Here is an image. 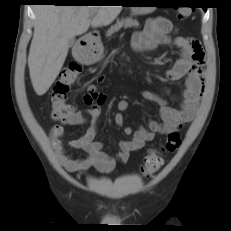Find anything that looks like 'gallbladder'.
I'll list each match as a JSON object with an SVG mask.
<instances>
[{
	"label": "gallbladder",
	"instance_id": "obj_1",
	"mask_svg": "<svg viewBox=\"0 0 231 231\" xmlns=\"http://www.w3.org/2000/svg\"><path fill=\"white\" fill-rule=\"evenodd\" d=\"M73 43H74V39H71V40L69 41V47H71V46L73 45Z\"/></svg>",
	"mask_w": 231,
	"mask_h": 231
}]
</instances>
